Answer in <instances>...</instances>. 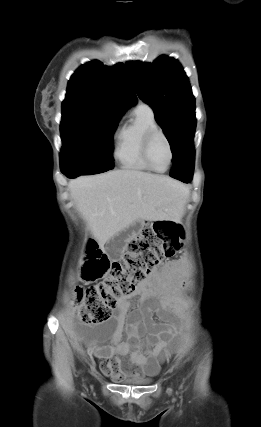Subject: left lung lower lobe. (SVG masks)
<instances>
[{
	"label": "left lung lower lobe",
	"instance_id": "left-lung-lower-lobe-1",
	"mask_svg": "<svg viewBox=\"0 0 261 427\" xmlns=\"http://www.w3.org/2000/svg\"><path fill=\"white\" fill-rule=\"evenodd\" d=\"M194 171V146L193 138L186 142L183 146L181 154L176 162L173 163V168L170 176L184 183H189L192 180Z\"/></svg>",
	"mask_w": 261,
	"mask_h": 427
}]
</instances>
